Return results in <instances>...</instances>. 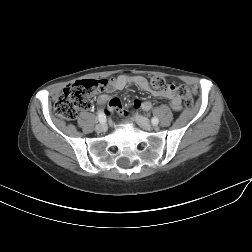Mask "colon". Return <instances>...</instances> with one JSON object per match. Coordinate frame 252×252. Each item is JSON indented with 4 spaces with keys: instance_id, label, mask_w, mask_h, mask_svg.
<instances>
[{
    "instance_id": "5ec220e1",
    "label": "colon",
    "mask_w": 252,
    "mask_h": 252,
    "mask_svg": "<svg viewBox=\"0 0 252 252\" xmlns=\"http://www.w3.org/2000/svg\"><path fill=\"white\" fill-rule=\"evenodd\" d=\"M106 83V80L85 79L66 86L55 103V113L63 119H74L81 109L89 106L92 97L103 89ZM150 85L154 89L174 88L187 108H192L194 104L192 94L186 86L181 85L175 88L173 85H168L166 80L160 76L152 77Z\"/></svg>"
}]
</instances>
